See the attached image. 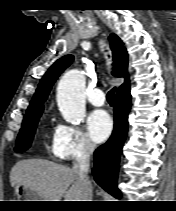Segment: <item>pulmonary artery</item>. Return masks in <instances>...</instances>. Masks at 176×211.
<instances>
[{
    "label": "pulmonary artery",
    "instance_id": "pulmonary-artery-1",
    "mask_svg": "<svg viewBox=\"0 0 176 211\" xmlns=\"http://www.w3.org/2000/svg\"><path fill=\"white\" fill-rule=\"evenodd\" d=\"M89 101L92 105L100 107L105 103V94L102 89L95 88L89 94Z\"/></svg>",
    "mask_w": 176,
    "mask_h": 211
}]
</instances>
